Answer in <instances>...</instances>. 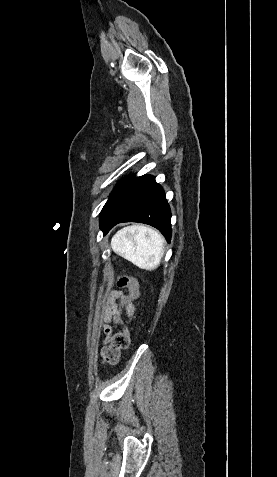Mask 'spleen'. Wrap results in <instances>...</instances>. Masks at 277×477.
I'll list each match as a JSON object with an SVG mask.
<instances>
[{"label":"spleen","instance_id":"spleen-1","mask_svg":"<svg viewBox=\"0 0 277 477\" xmlns=\"http://www.w3.org/2000/svg\"><path fill=\"white\" fill-rule=\"evenodd\" d=\"M113 251L141 269L155 270L164 253V238L144 225L127 226L111 240Z\"/></svg>","mask_w":277,"mask_h":477}]
</instances>
